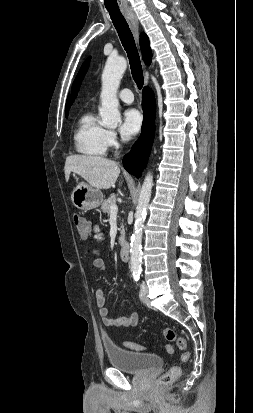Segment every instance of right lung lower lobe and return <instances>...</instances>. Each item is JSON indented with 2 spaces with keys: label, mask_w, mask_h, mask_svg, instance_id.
Segmentation results:
<instances>
[{
  "label": "right lung lower lobe",
  "mask_w": 253,
  "mask_h": 413,
  "mask_svg": "<svg viewBox=\"0 0 253 413\" xmlns=\"http://www.w3.org/2000/svg\"><path fill=\"white\" fill-rule=\"evenodd\" d=\"M142 95V109L144 111L142 133L130 153L123 158L124 168L132 174H137L146 167L155 133L156 107L154 94L149 87H145Z\"/></svg>",
  "instance_id": "right-lung-lower-lobe-1"
}]
</instances>
